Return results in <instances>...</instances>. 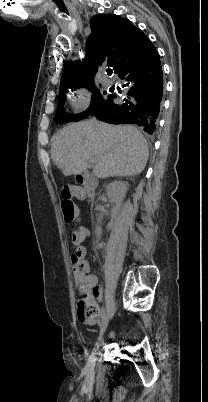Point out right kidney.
Segmentation results:
<instances>
[{"label":"right kidney","instance_id":"right-kidney-1","mask_svg":"<svg viewBox=\"0 0 208 402\" xmlns=\"http://www.w3.org/2000/svg\"><path fill=\"white\" fill-rule=\"evenodd\" d=\"M128 190V182H111L106 186L107 196H111L115 206L112 210V216H116L123 206V200Z\"/></svg>","mask_w":208,"mask_h":402}]
</instances>
